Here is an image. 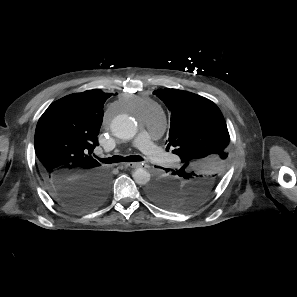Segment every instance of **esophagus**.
Instances as JSON below:
<instances>
[{
	"label": "esophagus",
	"mask_w": 297,
	"mask_h": 297,
	"mask_svg": "<svg viewBox=\"0 0 297 297\" xmlns=\"http://www.w3.org/2000/svg\"><path fill=\"white\" fill-rule=\"evenodd\" d=\"M125 166L131 167V168H139V167H142V164L141 163H135V162H129V163H125Z\"/></svg>",
	"instance_id": "esophagus-1"
}]
</instances>
